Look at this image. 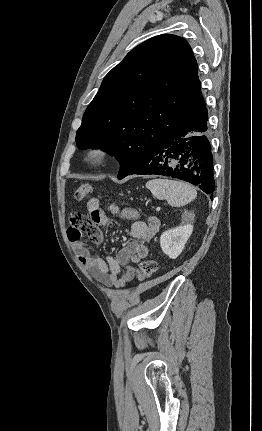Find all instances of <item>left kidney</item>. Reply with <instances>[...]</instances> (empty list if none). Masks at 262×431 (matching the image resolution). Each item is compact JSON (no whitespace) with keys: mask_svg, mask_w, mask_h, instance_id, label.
<instances>
[{"mask_svg":"<svg viewBox=\"0 0 262 431\" xmlns=\"http://www.w3.org/2000/svg\"><path fill=\"white\" fill-rule=\"evenodd\" d=\"M193 232V225H181L167 230L160 237V246L164 254L176 259L183 251L185 244Z\"/></svg>","mask_w":262,"mask_h":431,"instance_id":"left-kidney-1","label":"left kidney"}]
</instances>
